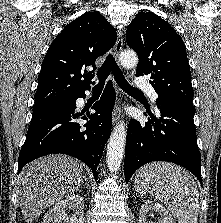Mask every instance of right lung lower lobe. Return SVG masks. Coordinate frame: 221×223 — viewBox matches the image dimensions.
I'll list each match as a JSON object with an SVG mask.
<instances>
[{
	"label": "right lung lower lobe",
	"instance_id": "1",
	"mask_svg": "<svg viewBox=\"0 0 221 223\" xmlns=\"http://www.w3.org/2000/svg\"><path fill=\"white\" fill-rule=\"evenodd\" d=\"M80 97L85 98V93L69 102L33 112L27 138L19 154L18 173L36 158L62 153L83 161L97 179L96 168L111 133L116 94L109 81L100 100L92 106L94 114L76 112V100ZM81 120L88 122L82 123Z\"/></svg>",
	"mask_w": 221,
	"mask_h": 223
}]
</instances>
